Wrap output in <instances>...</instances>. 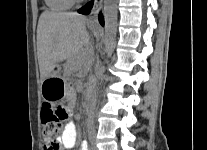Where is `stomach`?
<instances>
[{
  "label": "stomach",
  "instance_id": "stomach-1",
  "mask_svg": "<svg viewBox=\"0 0 207 150\" xmlns=\"http://www.w3.org/2000/svg\"><path fill=\"white\" fill-rule=\"evenodd\" d=\"M94 34H97L95 28H91ZM58 66H54L53 71L49 77H47L41 84V92L44 99L54 101L62 98H66L71 93V87L67 81L62 78L57 69Z\"/></svg>",
  "mask_w": 207,
  "mask_h": 150
}]
</instances>
